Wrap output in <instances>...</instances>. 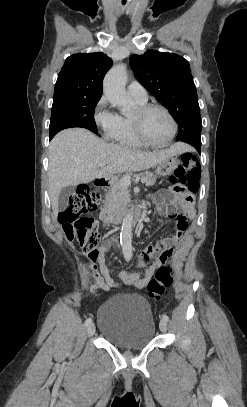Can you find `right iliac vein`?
<instances>
[{"label":"right iliac vein","mask_w":247,"mask_h":407,"mask_svg":"<svg viewBox=\"0 0 247 407\" xmlns=\"http://www.w3.org/2000/svg\"><path fill=\"white\" fill-rule=\"evenodd\" d=\"M95 325L91 323L88 328H87V334L88 336H92L95 333Z\"/></svg>","instance_id":"right-iliac-vein-1"}]
</instances>
